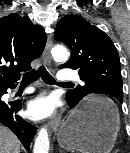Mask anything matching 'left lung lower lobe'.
Segmentation results:
<instances>
[{"label":"left lung lower lobe","mask_w":130,"mask_h":153,"mask_svg":"<svg viewBox=\"0 0 130 153\" xmlns=\"http://www.w3.org/2000/svg\"><path fill=\"white\" fill-rule=\"evenodd\" d=\"M68 104H69V106H70V108H73L76 104L75 103H71V102H68ZM89 113V111L87 110V111H85L83 114H88Z\"/></svg>","instance_id":"left-lung-lower-lobe-1"}]
</instances>
